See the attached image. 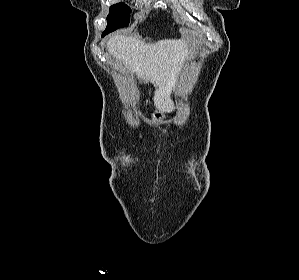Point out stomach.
I'll return each instance as SVG.
<instances>
[{
	"label": "stomach",
	"instance_id": "0dacf381",
	"mask_svg": "<svg viewBox=\"0 0 299 280\" xmlns=\"http://www.w3.org/2000/svg\"><path fill=\"white\" fill-rule=\"evenodd\" d=\"M163 112L161 111H155L152 115V119L154 122H159L163 119Z\"/></svg>",
	"mask_w": 299,
	"mask_h": 280
}]
</instances>
